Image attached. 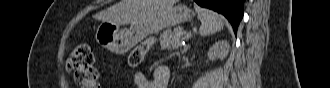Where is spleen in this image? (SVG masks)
Segmentation results:
<instances>
[{"mask_svg":"<svg viewBox=\"0 0 330 88\" xmlns=\"http://www.w3.org/2000/svg\"><path fill=\"white\" fill-rule=\"evenodd\" d=\"M198 17L201 21L199 32L201 35L214 34L220 31L224 25V17L208 9H199Z\"/></svg>","mask_w":330,"mask_h":88,"instance_id":"obj_1","label":"spleen"}]
</instances>
